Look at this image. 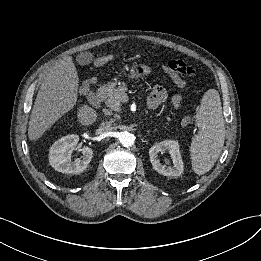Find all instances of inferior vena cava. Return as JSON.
I'll list each match as a JSON object with an SVG mask.
<instances>
[{
  "mask_svg": "<svg viewBox=\"0 0 261 261\" xmlns=\"http://www.w3.org/2000/svg\"><path fill=\"white\" fill-rule=\"evenodd\" d=\"M113 128L114 127L112 126L111 122L106 121V122L101 123V125L99 127V132L100 133L110 132L113 130Z\"/></svg>",
  "mask_w": 261,
  "mask_h": 261,
  "instance_id": "obj_1",
  "label": "inferior vena cava"
}]
</instances>
